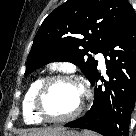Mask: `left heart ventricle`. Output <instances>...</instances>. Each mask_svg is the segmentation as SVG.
I'll return each mask as SVG.
<instances>
[{
    "label": "left heart ventricle",
    "mask_w": 136,
    "mask_h": 136,
    "mask_svg": "<svg viewBox=\"0 0 136 136\" xmlns=\"http://www.w3.org/2000/svg\"><path fill=\"white\" fill-rule=\"evenodd\" d=\"M81 98L80 88L70 82L57 81L52 83L43 100L46 113L53 117H64L72 113Z\"/></svg>",
    "instance_id": "1"
}]
</instances>
